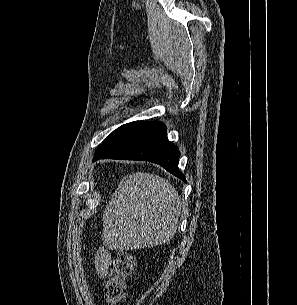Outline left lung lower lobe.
<instances>
[{
	"mask_svg": "<svg viewBox=\"0 0 297 305\" xmlns=\"http://www.w3.org/2000/svg\"><path fill=\"white\" fill-rule=\"evenodd\" d=\"M179 157V149L167 139L162 122L134 121L114 130L97 148L93 161L105 158L149 161L186 182L178 169Z\"/></svg>",
	"mask_w": 297,
	"mask_h": 305,
	"instance_id": "obj_1",
	"label": "left lung lower lobe"
}]
</instances>
